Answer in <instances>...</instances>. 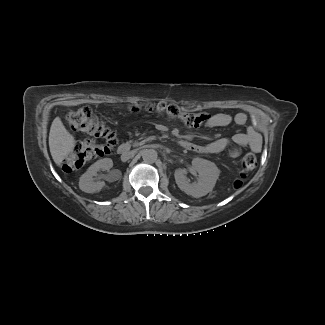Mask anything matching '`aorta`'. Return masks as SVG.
<instances>
[{
    "instance_id": "762f6f07",
    "label": "aorta",
    "mask_w": 325,
    "mask_h": 325,
    "mask_svg": "<svg viewBox=\"0 0 325 325\" xmlns=\"http://www.w3.org/2000/svg\"><path fill=\"white\" fill-rule=\"evenodd\" d=\"M158 154L154 149H146L142 152V158L146 163H154L157 160Z\"/></svg>"
}]
</instances>
